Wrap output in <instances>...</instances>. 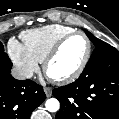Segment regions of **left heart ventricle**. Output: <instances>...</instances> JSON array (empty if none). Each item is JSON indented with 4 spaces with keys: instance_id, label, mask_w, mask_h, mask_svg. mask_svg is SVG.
<instances>
[{
    "instance_id": "1",
    "label": "left heart ventricle",
    "mask_w": 119,
    "mask_h": 119,
    "mask_svg": "<svg viewBox=\"0 0 119 119\" xmlns=\"http://www.w3.org/2000/svg\"><path fill=\"white\" fill-rule=\"evenodd\" d=\"M87 50V43L82 36L76 35L67 40L57 56L48 66V74L59 78L72 73L83 60Z\"/></svg>"
}]
</instances>
